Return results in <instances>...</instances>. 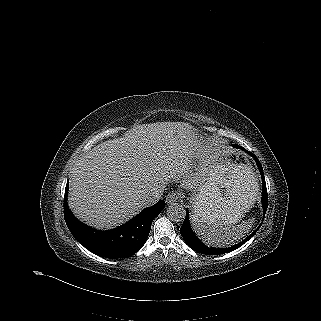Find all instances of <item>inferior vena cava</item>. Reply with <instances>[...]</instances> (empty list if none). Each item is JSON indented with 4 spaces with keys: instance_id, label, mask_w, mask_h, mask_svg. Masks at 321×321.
<instances>
[{
    "instance_id": "obj_1",
    "label": "inferior vena cava",
    "mask_w": 321,
    "mask_h": 321,
    "mask_svg": "<svg viewBox=\"0 0 321 321\" xmlns=\"http://www.w3.org/2000/svg\"><path fill=\"white\" fill-rule=\"evenodd\" d=\"M162 194H163L162 189L154 191L152 193L144 195L142 198V201L145 204V206H151L161 199Z\"/></svg>"
}]
</instances>
